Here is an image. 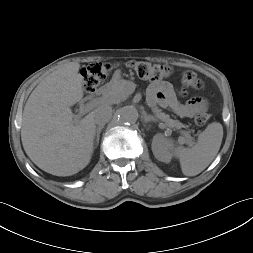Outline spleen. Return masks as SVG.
Instances as JSON below:
<instances>
[{
    "label": "spleen",
    "instance_id": "1",
    "mask_svg": "<svg viewBox=\"0 0 253 253\" xmlns=\"http://www.w3.org/2000/svg\"><path fill=\"white\" fill-rule=\"evenodd\" d=\"M222 138V125L213 122L199 135L193 147H177L175 155L179 158L182 173L186 176H195L206 169L217 155Z\"/></svg>",
    "mask_w": 253,
    "mask_h": 253
}]
</instances>
